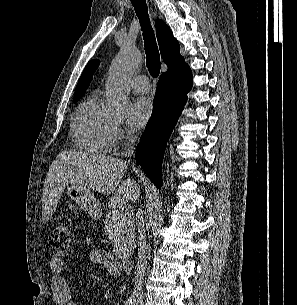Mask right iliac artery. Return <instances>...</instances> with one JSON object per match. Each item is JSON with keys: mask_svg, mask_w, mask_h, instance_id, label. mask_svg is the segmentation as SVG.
I'll list each match as a JSON object with an SVG mask.
<instances>
[{"mask_svg": "<svg viewBox=\"0 0 297 305\" xmlns=\"http://www.w3.org/2000/svg\"><path fill=\"white\" fill-rule=\"evenodd\" d=\"M125 305H134L133 299L132 298L127 299V301L125 302Z\"/></svg>", "mask_w": 297, "mask_h": 305, "instance_id": "82829eb1", "label": "right iliac artery"}]
</instances>
